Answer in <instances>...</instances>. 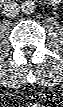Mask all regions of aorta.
I'll return each instance as SVG.
<instances>
[{"label":"aorta","mask_w":63,"mask_h":107,"mask_svg":"<svg viewBox=\"0 0 63 107\" xmlns=\"http://www.w3.org/2000/svg\"><path fill=\"white\" fill-rule=\"evenodd\" d=\"M21 10L25 14H32L36 10V4L32 0H26L21 4Z\"/></svg>","instance_id":"obj_1"}]
</instances>
